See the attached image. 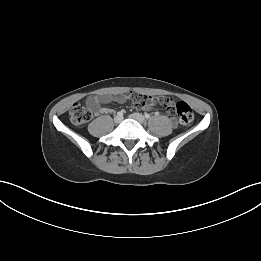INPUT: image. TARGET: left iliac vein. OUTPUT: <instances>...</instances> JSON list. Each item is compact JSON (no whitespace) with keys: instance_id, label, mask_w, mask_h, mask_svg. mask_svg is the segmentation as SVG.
<instances>
[{"instance_id":"obj_1","label":"left iliac vein","mask_w":261,"mask_h":261,"mask_svg":"<svg viewBox=\"0 0 261 261\" xmlns=\"http://www.w3.org/2000/svg\"><path fill=\"white\" fill-rule=\"evenodd\" d=\"M130 118L138 121L140 124H144L146 122L144 116L140 113H133L130 115Z\"/></svg>"}]
</instances>
